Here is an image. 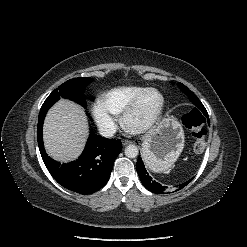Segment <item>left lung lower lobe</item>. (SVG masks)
<instances>
[{
	"label": "left lung lower lobe",
	"mask_w": 247,
	"mask_h": 247,
	"mask_svg": "<svg viewBox=\"0 0 247 247\" xmlns=\"http://www.w3.org/2000/svg\"><path fill=\"white\" fill-rule=\"evenodd\" d=\"M203 133H205V130L203 129ZM136 169H137V173L140 177V180L143 184V186L145 188H147L148 190H150L153 193H157V194H162L168 191V188L166 186L161 185L160 183H158L157 181H155L147 172V170L145 169L143 160L141 157H138L137 160V164H136ZM192 179H190L189 181L181 184L178 186L177 190L182 189L183 187H185L189 182H191Z\"/></svg>",
	"instance_id": "obj_1"
}]
</instances>
